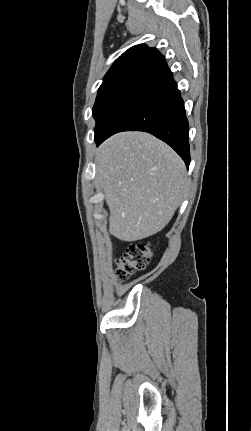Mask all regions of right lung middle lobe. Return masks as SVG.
Listing matches in <instances>:
<instances>
[{
  "instance_id": "right-lung-middle-lobe-1",
  "label": "right lung middle lobe",
  "mask_w": 251,
  "mask_h": 431,
  "mask_svg": "<svg viewBox=\"0 0 251 431\" xmlns=\"http://www.w3.org/2000/svg\"><path fill=\"white\" fill-rule=\"evenodd\" d=\"M147 67L145 64L127 65L104 78L99 87L92 113L96 120L95 138L107 128L110 120L136 87Z\"/></svg>"
}]
</instances>
